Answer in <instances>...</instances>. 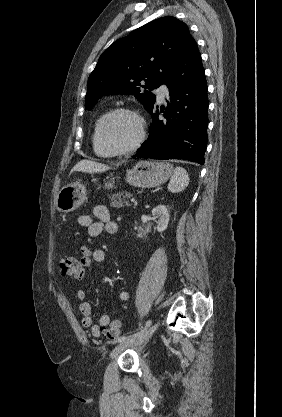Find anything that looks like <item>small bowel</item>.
<instances>
[{
	"mask_svg": "<svg viewBox=\"0 0 282 417\" xmlns=\"http://www.w3.org/2000/svg\"><path fill=\"white\" fill-rule=\"evenodd\" d=\"M77 223L81 227L87 229L90 237H98L103 232H106L109 235H117L120 231L119 225L111 219L107 207L101 204H97L93 207L92 214L82 213L78 215ZM80 251L81 258L79 270L81 271L80 280H82L88 275L93 265L102 264L105 261L106 252L102 248L91 249L86 245L82 246ZM104 270L109 273L108 268H104ZM76 296L79 301V310L82 314V325L89 329L94 337H100L105 333V319L113 317L109 314H103L100 316L98 322L95 323L92 316L91 306L87 301V291L85 289H79ZM130 297L131 293L128 289H121L118 292V299L121 302L129 301Z\"/></svg>",
	"mask_w": 282,
	"mask_h": 417,
	"instance_id": "1",
	"label": "small bowel"
}]
</instances>
